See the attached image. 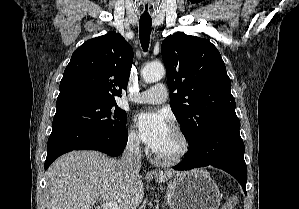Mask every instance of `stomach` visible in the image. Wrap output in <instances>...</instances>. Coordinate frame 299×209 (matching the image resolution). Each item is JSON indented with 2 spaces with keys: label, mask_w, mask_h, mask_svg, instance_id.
<instances>
[{
  "label": "stomach",
  "mask_w": 299,
  "mask_h": 209,
  "mask_svg": "<svg viewBox=\"0 0 299 209\" xmlns=\"http://www.w3.org/2000/svg\"><path fill=\"white\" fill-rule=\"evenodd\" d=\"M170 209H218L221 194L209 172H183L168 184L165 194Z\"/></svg>",
  "instance_id": "1"
}]
</instances>
